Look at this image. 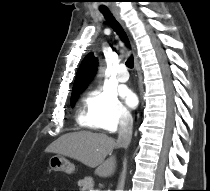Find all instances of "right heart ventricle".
Masks as SVG:
<instances>
[{
    "mask_svg": "<svg viewBox=\"0 0 210 191\" xmlns=\"http://www.w3.org/2000/svg\"><path fill=\"white\" fill-rule=\"evenodd\" d=\"M78 121L82 126L96 128V124L88 110L87 103H85L84 106L79 110Z\"/></svg>",
    "mask_w": 210,
    "mask_h": 191,
    "instance_id": "obj_1",
    "label": "right heart ventricle"
}]
</instances>
